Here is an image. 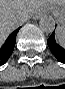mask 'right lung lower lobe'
<instances>
[{
  "label": "right lung lower lobe",
  "instance_id": "right-lung-lower-lobe-1",
  "mask_svg": "<svg viewBox=\"0 0 65 89\" xmlns=\"http://www.w3.org/2000/svg\"><path fill=\"white\" fill-rule=\"evenodd\" d=\"M20 28L9 35L4 45L0 48V65L5 64L11 56L16 43V35Z\"/></svg>",
  "mask_w": 65,
  "mask_h": 89
}]
</instances>
